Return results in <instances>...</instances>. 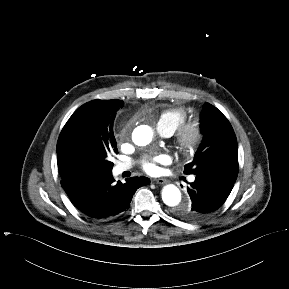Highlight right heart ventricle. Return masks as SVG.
Wrapping results in <instances>:
<instances>
[{"instance_id": "right-heart-ventricle-1", "label": "right heart ventricle", "mask_w": 289, "mask_h": 289, "mask_svg": "<svg viewBox=\"0 0 289 289\" xmlns=\"http://www.w3.org/2000/svg\"><path fill=\"white\" fill-rule=\"evenodd\" d=\"M188 118V112L183 107H171L163 110L157 121V126L174 133Z\"/></svg>"}]
</instances>
